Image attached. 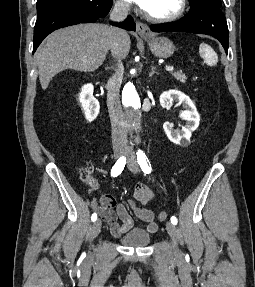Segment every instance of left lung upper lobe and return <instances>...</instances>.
<instances>
[{"label": "left lung upper lobe", "instance_id": "obj_1", "mask_svg": "<svg viewBox=\"0 0 255 287\" xmlns=\"http://www.w3.org/2000/svg\"><path fill=\"white\" fill-rule=\"evenodd\" d=\"M190 6H195L197 4H209L217 8L221 7V0H189Z\"/></svg>", "mask_w": 255, "mask_h": 287}]
</instances>
